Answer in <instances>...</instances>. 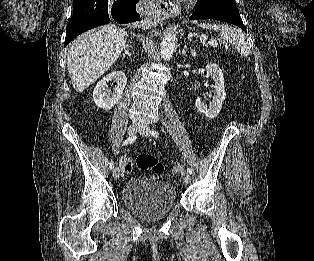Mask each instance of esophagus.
<instances>
[{
  "instance_id": "1",
  "label": "esophagus",
  "mask_w": 314,
  "mask_h": 261,
  "mask_svg": "<svg viewBox=\"0 0 314 261\" xmlns=\"http://www.w3.org/2000/svg\"><path fill=\"white\" fill-rule=\"evenodd\" d=\"M166 8L155 10V12L160 15L169 16L179 12V8L176 4H168Z\"/></svg>"
}]
</instances>
